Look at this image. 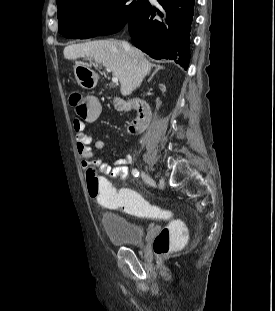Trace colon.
<instances>
[{
	"label": "colon",
	"instance_id": "1",
	"mask_svg": "<svg viewBox=\"0 0 275 311\" xmlns=\"http://www.w3.org/2000/svg\"><path fill=\"white\" fill-rule=\"evenodd\" d=\"M71 105L79 113V121H96L102 112L101 102L98 97H82L73 94L70 98ZM89 195L109 206L121 207L124 211L134 215H153L163 219H171L173 213L168 209L158 208L139 196L138 190H117L111 178L97 175L94 169L87 173ZM185 226L179 220H170L156 234L153 241V250L158 257H163L182 246L185 241Z\"/></svg>",
	"mask_w": 275,
	"mask_h": 311
}]
</instances>
